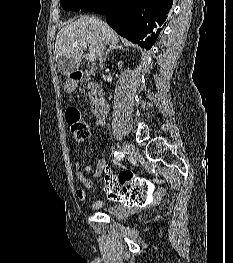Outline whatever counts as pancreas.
<instances>
[{
	"mask_svg": "<svg viewBox=\"0 0 233 263\" xmlns=\"http://www.w3.org/2000/svg\"><path fill=\"white\" fill-rule=\"evenodd\" d=\"M84 88L89 90L88 92L89 99L93 101L94 98H96L97 96L99 86L95 82H92L91 79L87 77Z\"/></svg>",
	"mask_w": 233,
	"mask_h": 263,
	"instance_id": "cf45deb5",
	"label": "pancreas"
}]
</instances>
